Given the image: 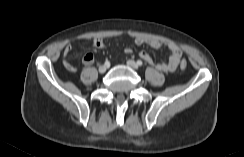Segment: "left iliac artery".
<instances>
[{
	"label": "left iliac artery",
	"instance_id": "44dca946",
	"mask_svg": "<svg viewBox=\"0 0 244 157\" xmlns=\"http://www.w3.org/2000/svg\"><path fill=\"white\" fill-rule=\"evenodd\" d=\"M137 65L141 67L143 65V62L141 60H137Z\"/></svg>",
	"mask_w": 244,
	"mask_h": 157
}]
</instances>
